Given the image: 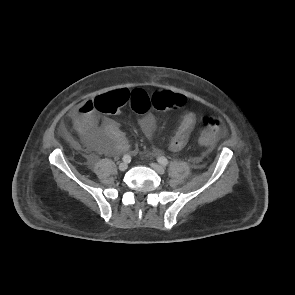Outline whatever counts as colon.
Listing matches in <instances>:
<instances>
[{"instance_id": "5ec220e1", "label": "colon", "mask_w": 295, "mask_h": 295, "mask_svg": "<svg viewBox=\"0 0 295 295\" xmlns=\"http://www.w3.org/2000/svg\"><path fill=\"white\" fill-rule=\"evenodd\" d=\"M187 103L186 97L181 94L165 91L149 96L141 90L129 91L125 89L112 91L97 96L93 100V107L102 113H116L125 106L138 114H146L151 108L166 111L183 108ZM222 122L218 117L210 116L199 136V143L204 147L211 146L217 139Z\"/></svg>"}]
</instances>
